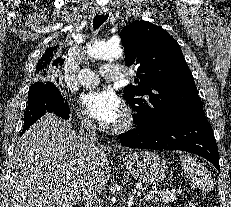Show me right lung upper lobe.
<instances>
[{
  "label": "right lung upper lobe",
  "instance_id": "cb5924a9",
  "mask_svg": "<svg viewBox=\"0 0 231 207\" xmlns=\"http://www.w3.org/2000/svg\"><path fill=\"white\" fill-rule=\"evenodd\" d=\"M58 48L59 46H53V47L48 48L45 51V53L42 55V57L38 61L36 71H35L36 76L45 75L47 67H49L56 61H58V63L59 62L63 63L64 60L61 57L54 60V54L56 53Z\"/></svg>",
  "mask_w": 231,
  "mask_h": 207
}]
</instances>
